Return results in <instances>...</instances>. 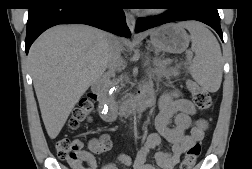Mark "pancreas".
I'll return each instance as SVG.
<instances>
[{
	"instance_id": "pancreas-1",
	"label": "pancreas",
	"mask_w": 252,
	"mask_h": 169,
	"mask_svg": "<svg viewBox=\"0 0 252 169\" xmlns=\"http://www.w3.org/2000/svg\"><path fill=\"white\" fill-rule=\"evenodd\" d=\"M156 68L154 69V73L159 76H165V77H171V76H177L178 70L176 67H170V62L164 61V60H156L155 61Z\"/></svg>"
}]
</instances>
